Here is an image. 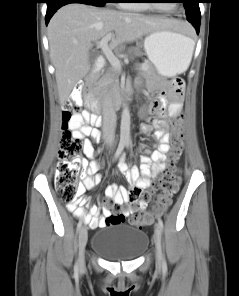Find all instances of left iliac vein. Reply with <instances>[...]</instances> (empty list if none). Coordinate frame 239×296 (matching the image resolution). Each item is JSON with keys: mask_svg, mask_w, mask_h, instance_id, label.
I'll use <instances>...</instances> for the list:
<instances>
[{"mask_svg": "<svg viewBox=\"0 0 239 296\" xmlns=\"http://www.w3.org/2000/svg\"><path fill=\"white\" fill-rule=\"evenodd\" d=\"M154 244H155L156 266L157 268L160 269L162 266V248H161V230L158 224L155 225Z\"/></svg>", "mask_w": 239, "mask_h": 296, "instance_id": "4c4485c4", "label": "left iliac vein"}]
</instances>
